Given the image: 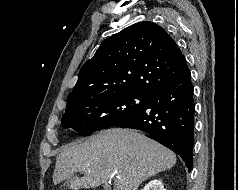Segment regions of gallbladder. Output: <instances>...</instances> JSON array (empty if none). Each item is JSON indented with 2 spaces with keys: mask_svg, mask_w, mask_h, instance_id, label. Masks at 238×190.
<instances>
[{
  "mask_svg": "<svg viewBox=\"0 0 238 190\" xmlns=\"http://www.w3.org/2000/svg\"><path fill=\"white\" fill-rule=\"evenodd\" d=\"M103 190H111V186L109 184H105L103 186Z\"/></svg>",
  "mask_w": 238,
  "mask_h": 190,
  "instance_id": "bac80fb5",
  "label": "gallbladder"
}]
</instances>
